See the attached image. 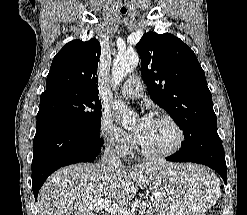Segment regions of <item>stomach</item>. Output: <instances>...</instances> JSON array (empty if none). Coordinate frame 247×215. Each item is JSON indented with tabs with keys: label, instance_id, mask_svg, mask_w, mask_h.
Wrapping results in <instances>:
<instances>
[{
	"label": "stomach",
	"instance_id": "obj_1",
	"mask_svg": "<svg viewBox=\"0 0 247 215\" xmlns=\"http://www.w3.org/2000/svg\"><path fill=\"white\" fill-rule=\"evenodd\" d=\"M218 189L217 177L206 168L175 165L160 170L154 178L151 201L159 215H205Z\"/></svg>",
	"mask_w": 247,
	"mask_h": 215
}]
</instances>
